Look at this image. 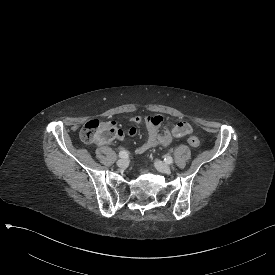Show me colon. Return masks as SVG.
Instances as JSON below:
<instances>
[{
	"instance_id": "5ec220e1",
	"label": "colon",
	"mask_w": 275,
	"mask_h": 275,
	"mask_svg": "<svg viewBox=\"0 0 275 275\" xmlns=\"http://www.w3.org/2000/svg\"><path fill=\"white\" fill-rule=\"evenodd\" d=\"M122 129L111 121H100L97 119L85 122L80 130V138L85 143H105L118 140L117 133ZM188 143L192 147H198L200 141L196 136H189Z\"/></svg>"
}]
</instances>
